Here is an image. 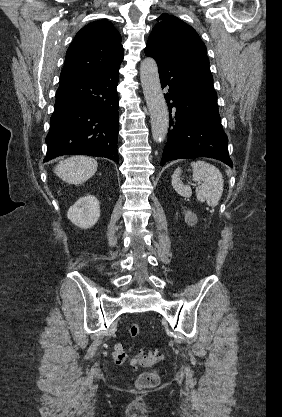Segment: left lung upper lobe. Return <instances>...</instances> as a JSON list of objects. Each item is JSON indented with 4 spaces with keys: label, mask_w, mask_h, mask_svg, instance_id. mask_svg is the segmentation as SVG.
Returning a JSON list of instances; mask_svg holds the SVG:
<instances>
[{
    "label": "left lung upper lobe",
    "mask_w": 282,
    "mask_h": 417,
    "mask_svg": "<svg viewBox=\"0 0 282 417\" xmlns=\"http://www.w3.org/2000/svg\"><path fill=\"white\" fill-rule=\"evenodd\" d=\"M147 42V49L171 62L177 60L209 64L206 46L197 32L179 18L162 14Z\"/></svg>",
    "instance_id": "left-lung-upper-lobe-1"
}]
</instances>
